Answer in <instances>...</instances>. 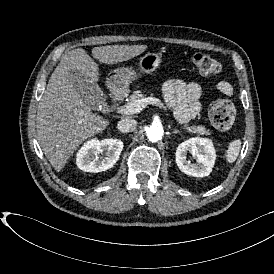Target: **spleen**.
<instances>
[{
    "label": "spleen",
    "instance_id": "obj_1",
    "mask_svg": "<svg viewBox=\"0 0 274 274\" xmlns=\"http://www.w3.org/2000/svg\"><path fill=\"white\" fill-rule=\"evenodd\" d=\"M240 149H241V140L240 139H236V140L230 142L228 149L226 151V160L229 163L235 162L239 155Z\"/></svg>",
    "mask_w": 274,
    "mask_h": 274
}]
</instances>
